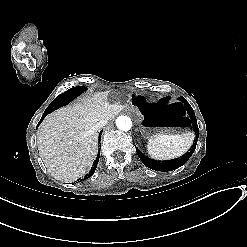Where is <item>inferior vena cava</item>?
Returning <instances> with one entry per match:
<instances>
[{
  "label": "inferior vena cava",
  "mask_w": 247,
  "mask_h": 247,
  "mask_svg": "<svg viewBox=\"0 0 247 247\" xmlns=\"http://www.w3.org/2000/svg\"><path fill=\"white\" fill-rule=\"evenodd\" d=\"M108 124V119L103 118L98 123H96V128H102L103 126Z\"/></svg>",
  "instance_id": "602c4592"
}]
</instances>
